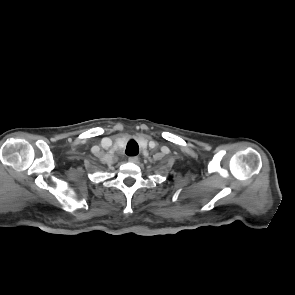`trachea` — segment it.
Wrapping results in <instances>:
<instances>
[{
  "label": "trachea",
  "instance_id": "1",
  "mask_svg": "<svg viewBox=\"0 0 295 295\" xmlns=\"http://www.w3.org/2000/svg\"><path fill=\"white\" fill-rule=\"evenodd\" d=\"M125 152L128 156H136L139 152V146L137 142L133 140L128 142Z\"/></svg>",
  "mask_w": 295,
  "mask_h": 295
}]
</instances>
